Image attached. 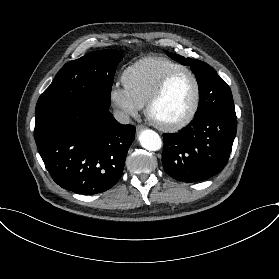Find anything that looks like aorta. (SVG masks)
Instances as JSON below:
<instances>
[{
    "label": "aorta",
    "mask_w": 279,
    "mask_h": 279,
    "mask_svg": "<svg viewBox=\"0 0 279 279\" xmlns=\"http://www.w3.org/2000/svg\"><path fill=\"white\" fill-rule=\"evenodd\" d=\"M139 142L144 149L149 151H157L162 147L160 136L150 129L141 132L139 135Z\"/></svg>",
    "instance_id": "aorta-1"
}]
</instances>
